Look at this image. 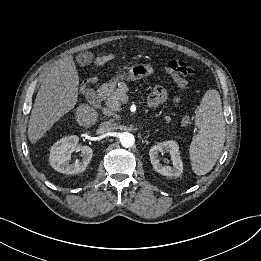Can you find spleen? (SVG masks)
I'll return each mask as SVG.
<instances>
[{
  "label": "spleen",
  "instance_id": "3e777b00",
  "mask_svg": "<svg viewBox=\"0 0 261 261\" xmlns=\"http://www.w3.org/2000/svg\"><path fill=\"white\" fill-rule=\"evenodd\" d=\"M195 124L199 131L190 144L189 153L193 172L201 176L214 167L225 142V120L218 91L208 90L204 94Z\"/></svg>",
  "mask_w": 261,
  "mask_h": 261
}]
</instances>
